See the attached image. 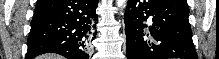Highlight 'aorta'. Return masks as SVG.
Masks as SVG:
<instances>
[{"label": "aorta", "mask_w": 219, "mask_h": 59, "mask_svg": "<svg viewBox=\"0 0 219 59\" xmlns=\"http://www.w3.org/2000/svg\"><path fill=\"white\" fill-rule=\"evenodd\" d=\"M127 0H116V5L121 8L123 6H125Z\"/></svg>", "instance_id": "762f6f07"}]
</instances>
